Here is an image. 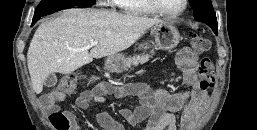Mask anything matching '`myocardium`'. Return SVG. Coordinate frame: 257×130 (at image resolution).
I'll return each mask as SVG.
<instances>
[{"mask_svg":"<svg viewBox=\"0 0 257 130\" xmlns=\"http://www.w3.org/2000/svg\"><path fill=\"white\" fill-rule=\"evenodd\" d=\"M148 4L150 5V7L156 12V13H159L161 15H164V16H167V17H171V18H174V17H178L180 16L181 14H183L185 12V10L187 9L188 7V2L189 0H184V3H183V6L182 8L177 11V12H168L166 10H164L158 3L157 0H147Z\"/></svg>","mask_w":257,"mask_h":130,"instance_id":"f54148a6","label":"myocardium"}]
</instances>
